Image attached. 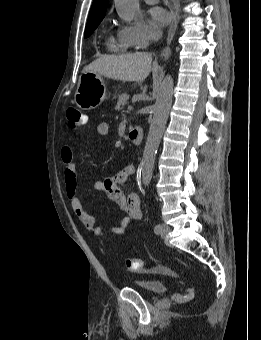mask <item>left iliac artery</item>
Returning <instances> with one entry per match:
<instances>
[{"instance_id":"44dca946","label":"left iliac artery","mask_w":261,"mask_h":340,"mask_svg":"<svg viewBox=\"0 0 261 340\" xmlns=\"http://www.w3.org/2000/svg\"><path fill=\"white\" fill-rule=\"evenodd\" d=\"M160 230H161V225L160 224L155 225L154 227L155 233H158Z\"/></svg>"}]
</instances>
